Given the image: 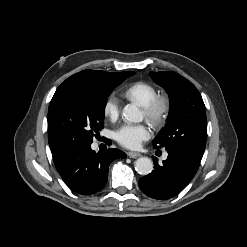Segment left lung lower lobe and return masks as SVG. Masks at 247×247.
<instances>
[{
  "instance_id": "obj_1",
  "label": "left lung lower lobe",
  "mask_w": 247,
  "mask_h": 247,
  "mask_svg": "<svg viewBox=\"0 0 247 247\" xmlns=\"http://www.w3.org/2000/svg\"><path fill=\"white\" fill-rule=\"evenodd\" d=\"M154 170L139 180L142 192L155 199H168L180 192L194 177L202 157L170 151L159 165L154 157Z\"/></svg>"
}]
</instances>
